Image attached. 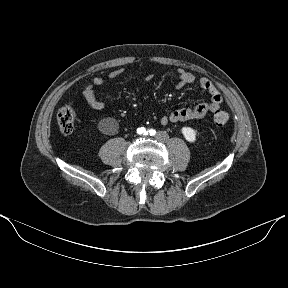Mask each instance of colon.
<instances>
[{
    "mask_svg": "<svg viewBox=\"0 0 288 288\" xmlns=\"http://www.w3.org/2000/svg\"><path fill=\"white\" fill-rule=\"evenodd\" d=\"M76 113L71 103L64 104L57 112V124L63 134H70L75 128ZM214 123L217 126H224L228 120L227 112L217 110L213 117Z\"/></svg>",
    "mask_w": 288,
    "mask_h": 288,
    "instance_id": "1",
    "label": "colon"
}]
</instances>
